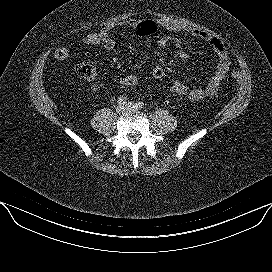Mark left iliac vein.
I'll use <instances>...</instances> for the list:
<instances>
[{
	"mask_svg": "<svg viewBox=\"0 0 272 272\" xmlns=\"http://www.w3.org/2000/svg\"><path fill=\"white\" fill-rule=\"evenodd\" d=\"M126 110L128 111H138L139 110V107L136 103L134 102H128L126 104Z\"/></svg>",
	"mask_w": 272,
	"mask_h": 272,
	"instance_id": "left-iliac-vein-1",
	"label": "left iliac vein"
}]
</instances>
